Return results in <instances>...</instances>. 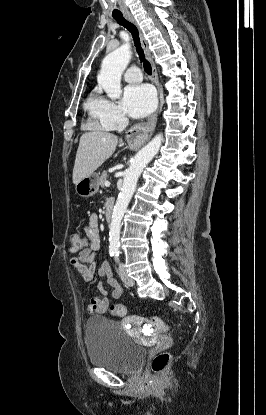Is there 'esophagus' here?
I'll list each match as a JSON object with an SVG mask.
<instances>
[{"instance_id": "34e87169", "label": "esophagus", "mask_w": 266, "mask_h": 415, "mask_svg": "<svg viewBox=\"0 0 266 415\" xmlns=\"http://www.w3.org/2000/svg\"><path fill=\"white\" fill-rule=\"evenodd\" d=\"M125 17L129 22L133 23L139 31L141 44L143 46L145 55H146L147 59L149 60V62L151 64V67H152V80H153L154 84L157 87L158 96H159L160 85H159L158 73H157L155 63L153 61L151 51L149 49V45H148V43H147V41H146V39H145L141 29H140L138 23L136 22L135 18L129 13L125 14ZM157 115H158V108L150 116V118L147 120V122L133 125L128 130V132L126 134V139H127L128 143L131 146H141L150 139V137H151V135H152V133L155 130V127H156Z\"/></svg>"}]
</instances>
